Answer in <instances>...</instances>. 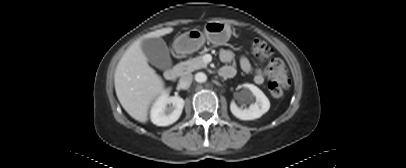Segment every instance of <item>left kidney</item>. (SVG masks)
I'll use <instances>...</instances> for the list:
<instances>
[{"label":"left kidney","mask_w":406,"mask_h":168,"mask_svg":"<svg viewBox=\"0 0 406 168\" xmlns=\"http://www.w3.org/2000/svg\"><path fill=\"white\" fill-rule=\"evenodd\" d=\"M243 95L251 102L249 108H239L234 101L230 104L232 114L240 120H254L260 118L270 108V102L266 95L253 84H244ZM255 97V102H252Z\"/></svg>","instance_id":"left-kidney-1"}]
</instances>
